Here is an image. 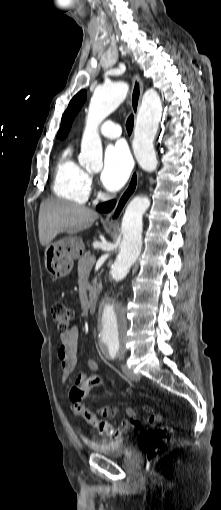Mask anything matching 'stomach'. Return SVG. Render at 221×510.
Instances as JSON below:
<instances>
[{"label":"stomach","mask_w":221,"mask_h":510,"mask_svg":"<svg viewBox=\"0 0 221 510\" xmlns=\"http://www.w3.org/2000/svg\"><path fill=\"white\" fill-rule=\"evenodd\" d=\"M83 249L82 240L72 236L49 243L44 252L46 270L54 279L67 276L72 271L74 259Z\"/></svg>","instance_id":"stomach-1"}]
</instances>
